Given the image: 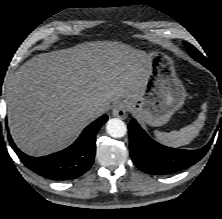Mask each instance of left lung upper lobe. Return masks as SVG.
<instances>
[{
  "label": "left lung upper lobe",
  "mask_w": 222,
  "mask_h": 219,
  "mask_svg": "<svg viewBox=\"0 0 222 219\" xmlns=\"http://www.w3.org/2000/svg\"><path fill=\"white\" fill-rule=\"evenodd\" d=\"M184 45L186 47V49L188 50L189 54L192 56L198 55L201 58L206 59V57H204L194 46H192L190 43L188 42H184Z\"/></svg>",
  "instance_id": "5c2ea615"
}]
</instances>
